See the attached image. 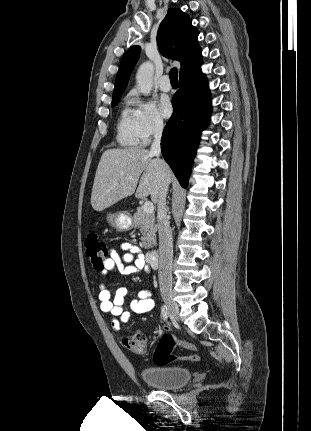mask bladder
<instances>
[{
  "label": "bladder",
  "instance_id": "31cf9c89",
  "mask_svg": "<svg viewBox=\"0 0 311 431\" xmlns=\"http://www.w3.org/2000/svg\"><path fill=\"white\" fill-rule=\"evenodd\" d=\"M140 376L147 384L158 389H176L187 384L191 379V371L178 365H158L144 367Z\"/></svg>",
  "mask_w": 311,
  "mask_h": 431
}]
</instances>
